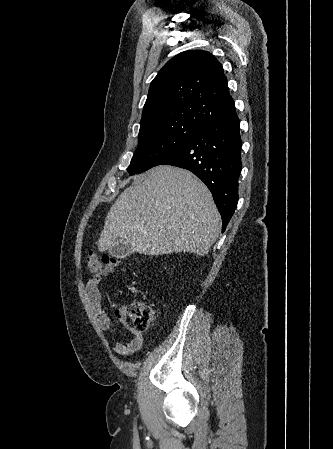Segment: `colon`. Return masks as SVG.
Here are the masks:
<instances>
[{"instance_id":"5ec220e1","label":"colon","mask_w":333,"mask_h":449,"mask_svg":"<svg viewBox=\"0 0 333 449\" xmlns=\"http://www.w3.org/2000/svg\"><path fill=\"white\" fill-rule=\"evenodd\" d=\"M118 260L107 254L89 252L86 256V266L95 274L110 273L117 266ZM126 314L131 320L132 327L137 331H144L155 324L157 310L141 301H134L126 308Z\"/></svg>"}]
</instances>
